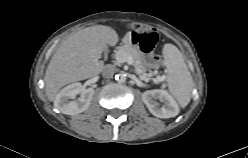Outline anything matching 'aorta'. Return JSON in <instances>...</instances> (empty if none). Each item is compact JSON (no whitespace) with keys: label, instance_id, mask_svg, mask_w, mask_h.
Returning a JSON list of instances; mask_svg holds the SVG:
<instances>
[{"label":"aorta","instance_id":"aorta-1","mask_svg":"<svg viewBox=\"0 0 248 158\" xmlns=\"http://www.w3.org/2000/svg\"><path fill=\"white\" fill-rule=\"evenodd\" d=\"M125 75H117V77H116V80H119V81H121V82H124L125 81Z\"/></svg>","mask_w":248,"mask_h":158}]
</instances>
